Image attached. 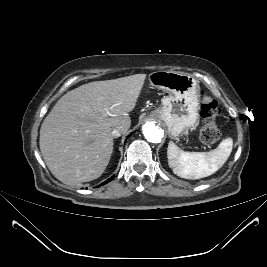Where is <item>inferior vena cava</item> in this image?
Listing matches in <instances>:
<instances>
[{
  "mask_svg": "<svg viewBox=\"0 0 267 267\" xmlns=\"http://www.w3.org/2000/svg\"><path fill=\"white\" fill-rule=\"evenodd\" d=\"M124 129H125L124 126H117V127L112 128L111 136L113 138L119 137L124 132Z\"/></svg>",
  "mask_w": 267,
  "mask_h": 267,
  "instance_id": "1",
  "label": "inferior vena cava"
}]
</instances>
